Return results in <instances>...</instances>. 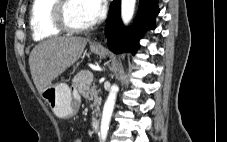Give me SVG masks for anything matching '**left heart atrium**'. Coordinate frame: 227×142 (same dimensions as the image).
<instances>
[{
  "mask_svg": "<svg viewBox=\"0 0 227 142\" xmlns=\"http://www.w3.org/2000/svg\"><path fill=\"white\" fill-rule=\"evenodd\" d=\"M88 15L93 21L100 19L106 8V0H82Z\"/></svg>",
  "mask_w": 227,
  "mask_h": 142,
  "instance_id": "39dd6f15",
  "label": "left heart atrium"
}]
</instances>
